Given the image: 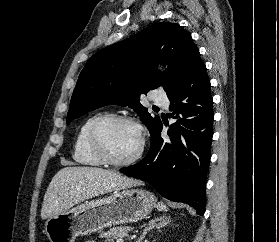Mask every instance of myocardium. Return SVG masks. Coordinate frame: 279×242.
Masks as SVG:
<instances>
[{
  "instance_id": "1",
  "label": "myocardium",
  "mask_w": 279,
  "mask_h": 242,
  "mask_svg": "<svg viewBox=\"0 0 279 242\" xmlns=\"http://www.w3.org/2000/svg\"><path fill=\"white\" fill-rule=\"evenodd\" d=\"M125 123L134 126L139 134V145L136 152L128 159L118 160L111 156L105 142L104 131L107 127ZM90 145L95 154L105 163L114 167H125L134 164L142 155L145 146V135L142 125L135 118L125 115H106L95 121L89 134Z\"/></svg>"
}]
</instances>
